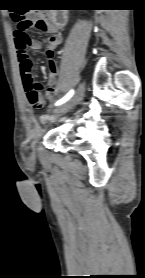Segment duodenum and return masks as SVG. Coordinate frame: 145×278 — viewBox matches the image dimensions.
<instances>
[{
  "label": "duodenum",
  "mask_w": 145,
  "mask_h": 278,
  "mask_svg": "<svg viewBox=\"0 0 145 278\" xmlns=\"http://www.w3.org/2000/svg\"><path fill=\"white\" fill-rule=\"evenodd\" d=\"M49 22L56 28L64 27L68 22L67 12L64 10H57L50 14Z\"/></svg>",
  "instance_id": "obj_1"
}]
</instances>
